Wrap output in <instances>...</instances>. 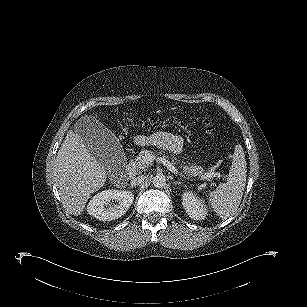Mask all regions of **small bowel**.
<instances>
[{
	"label": "small bowel",
	"instance_id": "1",
	"mask_svg": "<svg viewBox=\"0 0 307 307\" xmlns=\"http://www.w3.org/2000/svg\"><path fill=\"white\" fill-rule=\"evenodd\" d=\"M159 143L165 147L166 149L170 150L175 154H179L182 152V141L180 138L169 134V133H160L158 136Z\"/></svg>",
	"mask_w": 307,
	"mask_h": 307
}]
</instances>
